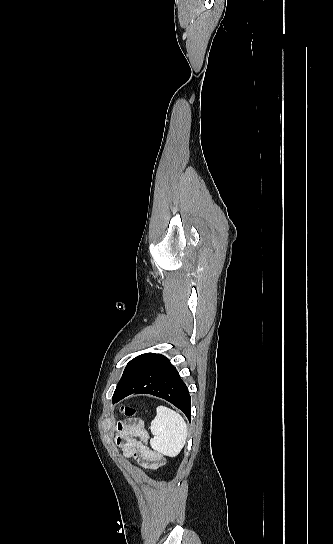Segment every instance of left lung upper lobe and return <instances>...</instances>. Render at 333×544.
<instances>
[{"instance_id":"1","label":"left lung upper lobe","mask_w":333,"mask_h":544,"mask_svg":"<svg viewBox=\"0 0 333 544\" xmlns=\"http://www.w3.org/2000/svg\"><path fill=\"white\" fill-rule=\"evenodd\" d=\"M154 355L155 353H145L132 359L127 364L115 392L123 389Z\"/></svg>"}]
</instances>
